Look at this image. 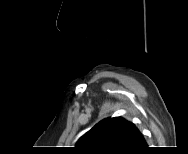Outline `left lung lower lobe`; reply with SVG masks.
I'll use <instances>...</instances> for the list:
<instances>
[{"label":"left lung lower lobe","instance_id":"0a47b994","mask_svg":"<svg viewBox=\"0 0 188 154\" xmlns=\"http://www.w3.org/2000/svg\"><path fill=\"white\" fill-rule=\"evenodd\" d=\"M142 147H146V141L141 132L138 129H136L130 151H135Z\"/></svg>","mask_w":188,"mask_h":154}]
</instances>
